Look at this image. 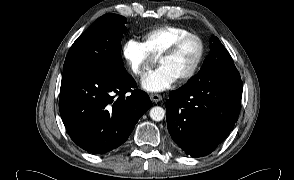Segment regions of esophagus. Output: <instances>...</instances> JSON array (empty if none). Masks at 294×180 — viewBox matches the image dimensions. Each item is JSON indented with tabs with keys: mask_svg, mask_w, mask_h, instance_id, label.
<instances>
[{
	"mask_svg": "<svg viewBox=\"0 0 294 180\" xmlns=\"http://www.w3.org/2000/svg\"><path fill=\"white\" fill-rule=\"evenodd\" d=\"M150 99L152 102H159L162 100V96L160 94L153 93L150 94Z\"/></svg>",
	"mask_w": 294,
	"mask_h": 180,
	"instance_id": "obj_1",
	"label": "esophagus"
}]
</instances>
